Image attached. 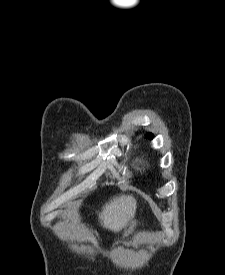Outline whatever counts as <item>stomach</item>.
I'll list each match as a JSON object with an SVG mask.
<instances>
[{
    "mask_svg": "<svg viewBox=\"0 0 225 275\" xmlns=\"http://www.w3.org/2000/svg\"><path fill=\"white\" fill-rule=\"evenodd\" d=\"M136 226V220H129L126 225L124 226V236H129L133 233Z\"/></svg>",
    "mask_w": 225,
    "mask_h": 275,
    "instance_id": "0dacf381",
    "label": "stomach"
}]
</instances>
